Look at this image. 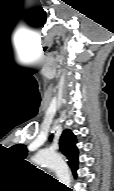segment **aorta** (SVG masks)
<instances>
[{"instance_id":"1","label":"aorta","mask_w":114,"mask_h":191,"mask_svg":"<svg viewBox=\"0 0 114 191\" xmlns=\"http://www.w3.org/2000/svg\"><path fill=\"white\" fill-rule=\"evenodd\" d=\"M32 161L38 165H45L51 168L60 183L67 187L70 186L71 173L69 167L59 154L48 150H40L33 156Z\"/></svg>"}]
</instances>
